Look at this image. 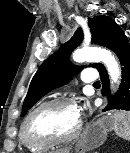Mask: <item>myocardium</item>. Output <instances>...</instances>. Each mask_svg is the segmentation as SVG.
<instances>
[{"label":"myocardium","instance_id":"f54148a6","mask_svg":"<svg viewBox=\"0 0 130 153\" xmlns=\"http://www.w3.org/2000/svg\"><path fill=\"white\" fill-rule=\"evenodd\" d=\"M57 105H67V106L75 107L74 101L69 98H54L39 104L26 116V118L24 119L22 123L21 132L26 142L35 146L65 145L72 142L79 136L81 128H82L81 119H79L78 124L76 128L73 130V132L66 137H60V138L37 137L30 134L29 124L32 118L44 108H47L50 106H57Z\"/></svg>","mask_w":130,"mask_h":153}]
</instances>
